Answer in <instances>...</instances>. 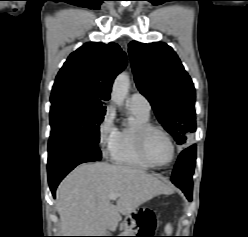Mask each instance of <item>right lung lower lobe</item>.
Returning a JSON list of instances; mask_svg holds the SVG:
<instances>
[{
    "label": "right lung lower lobe",
    "instance_id": "1",
    "mask_svg": "<svg viewBox=\"0 0 248 237\" xmlns=\"http://www.w3.org/2000/svg\"><path fill=\"white\" fill-rule=\"evenodd\" d=\"M101 160V152L96 144L86 141H72L64 138L49 139L48 181L55 197L60 181L77 165Z\"/></svg>",
    "mask_w": 248,
    "mask_h": 237
}]
</instances>
